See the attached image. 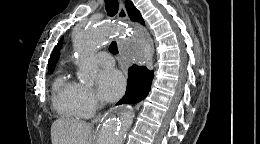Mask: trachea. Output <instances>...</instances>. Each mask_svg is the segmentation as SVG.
<instances>
[{
	"instance_id": "1",
	"label": "trachea",
	"mask_w": 260,
	"mask_h": 144,
	"mask_svg": "<svg viewBox=\"0 0 260 144\" xmlns=\"http://www.w3.org/2000/svg\"><path fill=\"white\" fill-rule=\"evenodd\" d=\"M105 8L107 11V15L113 17L118 12L119 9L118 0H105ZM109 51L113 55H116L118 53L117 43L115 41H113L110 44Z\"/></svg>"
}]
</instances>
